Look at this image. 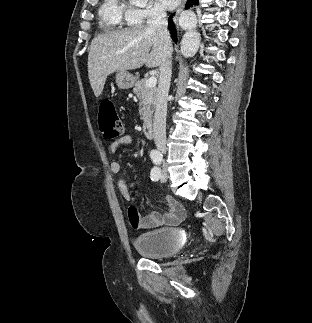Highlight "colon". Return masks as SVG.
<instances>
[{"instance_id": "5ec220e1", "label": "colon", "mask_w": 312, "mask_h": 323, "mask_svg": "<svg viewBox=\"0 0 312 323\" xmlns=\"http://www.w3.org/2000/svg\"><path fill=\"white\" fill-rule=\"evenodd\" d=\"M99 130L106 139H115L123 135L122 122L110 99L103 100L99 105ZM135 193H138V190H135Z\"/></svg>"}]
</instances>
